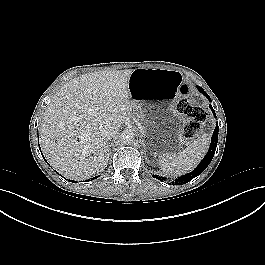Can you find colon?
I'll list each match as a JSON object with an SVG mask.
<instances>
[{"label":"colon","instance_id":"obj_1","mask_svg":"<svg viewBox=\"0 0 265 265\" xmlns=\"http://www.w3.org/2000/svg\"><path fill=\"white\" fill-rule=\"evenodd\" d=\"M187 93L188 89L185 88L183 94L186 95ZM177 112L188 118L184 126L183 137L186 140L195 138L200 133L202 125L206 120V112L189 101L186 97L179 100L177 104Z\"/></svg>","mask_w":265,"mask_h":265}]
</instances>
